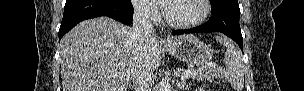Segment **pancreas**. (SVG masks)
Returning <instances> with one entry per match:
<instances>
[{
    "label": "pancreas",
    "mask_w": 304,
    "mask_h": 91,
    "mask_svg": "<svg viewBox=\"0 0 304 91\" xmlns=\"http://www.w3.org/2000/svg\"><path fill=\"white\" fill-rule=\"evenodd\" d=\"M183 72V71H182ZM222 71L218 68H206L202 72L190 75L193 80H211L212 78H220Z\"/></svg>",
    "instance_id": "obj_1"
}]
</instances>
